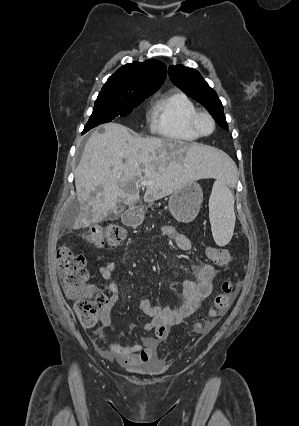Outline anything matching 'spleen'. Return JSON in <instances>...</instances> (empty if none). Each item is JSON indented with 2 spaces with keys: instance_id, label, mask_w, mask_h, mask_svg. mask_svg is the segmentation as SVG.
Wrapping results in <instances>:
<instances>
[{
  "instance_id": "obj_1",
  "label": "spleen",
  "mask_w": 299,
  "mask_h": 426,
  "mask_svg": "<svg viewBox=\"0 0 299 426\" xmlns=\"http://www.w3.org/2000/svg\"><path fill=\"white\" fill-rule=\"evenodd\" d=\"M234 196L224 178L215 181L209 199V218L212 235L218 246L227 245L235 227Z\"/></svg>"
}]
</instances>
